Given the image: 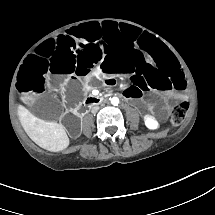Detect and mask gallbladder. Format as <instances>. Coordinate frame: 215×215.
<instances>
[{
  "label": "gallbladder",
  "mask_w": 215,
  "mask_h": 215,
  "mask_svg": "<svg viewBox=\"0 0 215 215\" xmlns=\"http://www.w3.org/2000/svg\"><path fill=\"white\" fill-rule=\"evenodd\" d=\"M60 111L61 107L59 103L51 96L38 99L33 107L35 116L41 120L53 121L58 117Z\"/></svg>",
  "instance_id": "obj_1"
}]
</instances>
